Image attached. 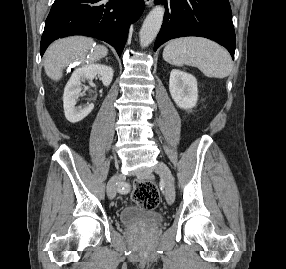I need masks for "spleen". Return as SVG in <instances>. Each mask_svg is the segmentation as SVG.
I'll use <instances>...</instances> for the list:
<instances>
[{
  "label": "spleen",
  "instance_id": "obj_1",
  "mask_svg": "<svg viewBox=\"0 0 286 269\" xmlns=\"http://www.w3.org/2000/svg\"><path fill=\"white\" fill-rule=\"evenodd\" d=\"M163 59L175 66L197 67L210 78L227 77L233 67L231 57L223 47L201 37L171 40L163 50Z\"/></svg>",
  "mask_w": 286,
  "mask_h": 269
}]
</instances>
